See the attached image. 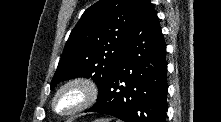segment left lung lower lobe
Wrapping results in <instances>:
<instances>
[{
    "label": "left lung lower lobe",
    "instance_id": "1",
    "mask_svg": "<svg viewBox=\"0 0 221 122\" xmlns=\"http://www.w3.org/2000/svg\"><path fill=\"white\" fill-rule=\"evenodd\" d=\"M166 45L150 0H141L137 18L104 92L86 112L125 122H165Z\"/></svg>",
    "mask_w": 221,
    "mask_h": 122
}]
</instances>
